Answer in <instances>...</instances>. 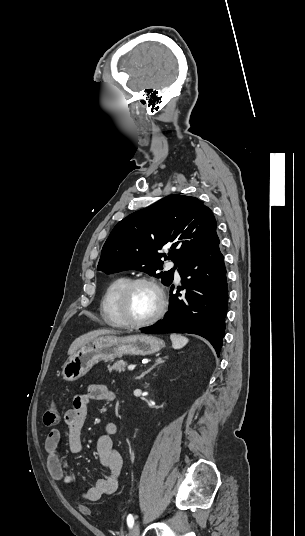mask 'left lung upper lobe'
<instances>
[{"label": "left lung upper lobe", "mask_w": 305, "mask_h": 536, "mask_svg": "<svg viewBox=\"0 0 305 536\" xmlns=\"http://www.w3.org/2000/svg\"><path fill=\"white\" fill-rule=\"evenodd\" d=\"M216 225L211 210L198 198L169 195L114 227L97 269L108 274L128 269L144 271L168 285L174 269L159 273L162 258L179 267L207 241ZM164 246L170 247L167 255L160 252Z\"/></svg>", "instance_id": "1"}]
</instances>
